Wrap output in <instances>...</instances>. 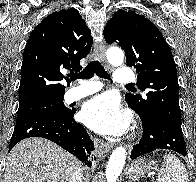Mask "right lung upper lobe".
I'll use <instances>...</instances> for the list:
<instances>
[{"instance_id": "cb5924a9", "label": "right lung upper lobe", "mask_w": 196, "mask_h": 182, "mask_svg": "<svg viewBox=\"0 0 196 182\" xmlns=\"http://www.w3.org/2000/svg\"><path fill=\"white\" fill-rule=\"evenodd\" d=\"M91 32L75 8L54 12L42 20L24 49L19 87L20 105L64 96L62 69L79 71V61L91 49Z\"/></svg>"}]
</instances>
